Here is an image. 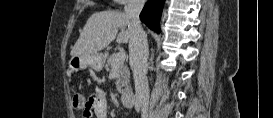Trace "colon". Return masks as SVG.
Instances as JSON below:
<instances>
[{
	"label": "colon",
	"instance_id": "colon-1",
	"mask_svg": "<svg viewBox=\"0 0 273 118\" xmlns=\"http://www.w3.org/2000/svg\"><path fill=\"white\" fill-rule=\"evenodd\" d=\"M72 104H73L74 109L82 110L83 114L85 113V111L88 108V102H86L85 98L80 93L74 94V96L72 98Z\"/></svg>",
	"mask_w": 273,
	"mask_h": 118
}]
</instances>
